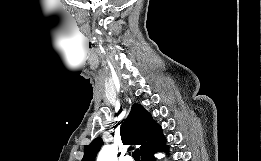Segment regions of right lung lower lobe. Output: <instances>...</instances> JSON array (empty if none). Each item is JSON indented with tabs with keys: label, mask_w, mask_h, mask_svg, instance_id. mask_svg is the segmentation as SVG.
<instances>
[{
	"label": "right lung lower lobe",
	"mask_w": 261,
	"mask_h": 161,
	"mask_svg": "<svg viewBox=\"0 0 261 161\" xmlns=\"http://www.w3.org/2000/svg\"><path fill=\"white\" fill-rule=\"evenodd\" d=\"M166 150H167V145H165V143H164L162 146H160L156 150H154V151L144 155L143 157H141V161H156L155 158H154V153L166 151Z\"/></svg>",
	"instance_id": "98d812e1"
}]
</instances>
